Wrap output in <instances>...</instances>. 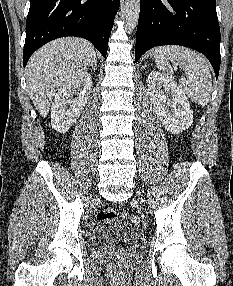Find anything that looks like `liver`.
Masks as SVG:
<instances>
[{
    "mask_svg": "<svg viewBox=\"0 0 233 286\" xmlns=\"http://www.w3.org/2000/svg\"><path fill=\"white\" fill-rule=\"evenodd\" d=\"M96 59L94 46L77 37L60 38L37 50L27 64L30 98L46 117L57 90L71 77L86 70Z\"/></svg>",
    "mask_w": 233,
    "mask_h": 286,
    "instance_id": "1",
    "label": "liver"
}]
</instances>
